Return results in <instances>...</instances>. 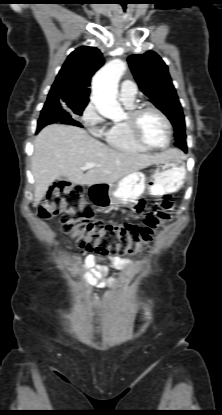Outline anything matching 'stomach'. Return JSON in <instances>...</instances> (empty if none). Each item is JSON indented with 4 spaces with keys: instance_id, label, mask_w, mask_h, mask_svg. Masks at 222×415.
Returning <instances> with one entry per match:
<instances>
[{
    "instance_id": "0dacf381",
    "label": "stomach",
    "mask_w": 222,
    "mask_h": 415,
    "mask_svg": "<svg viewBox=\"0 0 222 415\" xmlns=\"http://www.w3.org/2000/svg\"><path fill=\"white\" fill-rule=\"evenodd\" d=\"M186 178V164L183 157L167 159L157 163L150 172V186L148 178L142 172L136 171L121 178L115 184H95L90 186L89 195L94 204L101 208L114 206H128L149 190L151 195H160L161 192H175L179 190Z\"/></svg>"
}]
</instances>
